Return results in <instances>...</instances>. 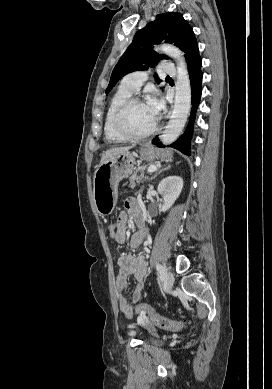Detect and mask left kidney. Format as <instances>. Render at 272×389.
Returning <instances> with one entry per match:
<instances>
[{"mask_svg":"<svg viewBox=\"0 0 272 389\" xmlns=\"http://www.w3.org/2000/svg\"><path fill=\"white\" fill-rule=\"evenodd\" d=\"M183 188V180L178 176H168L158 185V192L163 198L162 211H167L179 197Z\"/></svg>","mask_w":272,"mask_h":389,"instance_id":"1","label":"left kidney"}]
</instances>
